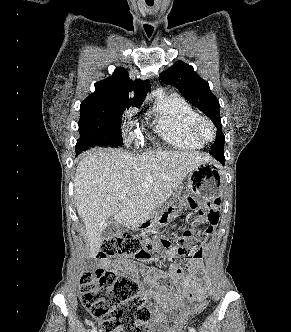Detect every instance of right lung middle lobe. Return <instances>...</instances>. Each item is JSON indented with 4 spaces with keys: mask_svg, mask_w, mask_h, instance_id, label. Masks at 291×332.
Here are the masks:
<instances>
[{
    "mask_svg": "<svg viewBox=\"0 0 291 332\" xmlns=\"http://www.w3.org/2000/svg\"><path fill=\"white\" fill-rule=\"evenodd\" d=\"M140 102L125 99L84 100L80 105L79 133L76 153L90 146L102 145L117 147L123 144L120 130L121 118L125 108L139 107Z\"/></svg>",
    "mask_w": 291,
    "mask_h": 332,
    "instance_id": "dd1d6c3e",
    "label": "right lung middle lobe"
}]
</instances>
